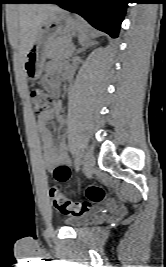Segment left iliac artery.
<instances>
[{
  "mask_svg": "<svg viewBox=\"0 0 166 267\" xmlns=\"http://www.w3.org/2000/svg\"><path fill=\"white\" fill-rule=\"evenodd\" d=\"M80 164H81V156L78 153H76V155H75V168L77 171L80 168Z\"/></svg>",
  "mask_w": 166,
  "mask_h": 267,
  "instance_id": "1",
  "label": "left iliac artery"
}]
</instances>
